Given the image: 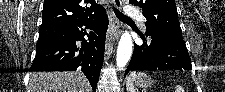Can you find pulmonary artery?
<instances>
[{
    "label": "pulmonary artery",
    "instance_id": "e3ab8cb5",
    "mask_svg": "<svg viewBox=\"0 0 225 92\" xmlns=\"http://www.w3.org/2000/svg\"><path fill=\"white\" fill-rule=\"evenodd\" d=\"M128 17L129 18H136L138 19L141 23H144L146 18L144 17V15L138 11L135 10H130L128 12Z\"/></svg>",
    "mask_w": 225,
    "mask_h": 92
}]
</instances>
